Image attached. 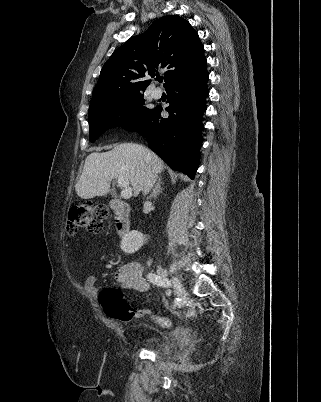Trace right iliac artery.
<instances>
[{
  "label": "right iliac artery",
  "mask_w": 321,
  "mask_h": 402,
  "mask_svg": "<svg viewBox=\"0 0 321 402\" xmlns=\"http://www.w3.org/2000/svg\"><path fill=\"white\" fill-rule=\"evenodd\" d=\"M148 281L152 282L153 284L157 285V286H162V287H169L171 284L168 281L167 278L161 277L158 274L155 273H149L147 275ZM171 291L168 290L167 294L170 295ZM180 301L179 298L176 299V303H178Z\"/></svg>",
  "instance_id": "1"
}]
</instances>
